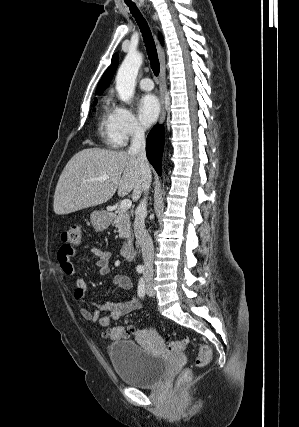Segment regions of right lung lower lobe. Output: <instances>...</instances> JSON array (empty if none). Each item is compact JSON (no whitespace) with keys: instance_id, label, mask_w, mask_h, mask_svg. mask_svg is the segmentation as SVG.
I'll use <instances>...</instances> for the list:
<instances>
[{"instance_id":"right-lung-lower-lobe-1","label":"right lung lower lobe","mask_w":299,"mask_h":427,"mask_svg":"<svg viewBox=\"0 0 299 427\" xmlns=\"http://www.w3.org/2000/svg\"><path fill=\"white\" fill-rule=\"evenodd\" d=\"M164 147V129L162 126H155L147 136L146 154L149 162L161 175V158Z\"/></svg>"}]
</instances>
